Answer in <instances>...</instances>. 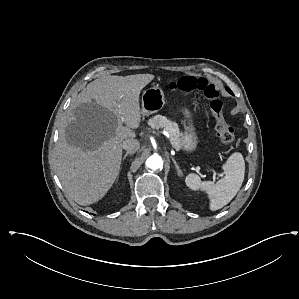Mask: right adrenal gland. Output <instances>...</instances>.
I'll use <instances>...</instances> for the list:
<instances>
[{
	"label": "right adrenal gland",
	"mask_w": 299,
	"mask_h": 299,
	"mask_svg": "<svg viewBox=\"0 0 299 299\" xmlns=\"http://www.w3.org/2000/svg\"><path fill=\"white\" fill-rule=\"evenodd\" d=\"M132 154H133L132 152L127 151V152L124 154L122 160H124L128 155H132Z\"/></svg>",
	"instance_id": "1"
}]
</instances>
